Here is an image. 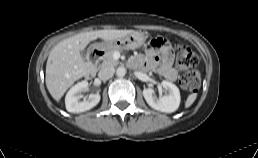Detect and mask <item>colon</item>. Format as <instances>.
Masks as SVG:
<instances>
[{"label":"colon","mask_w":258,"mask_h":158,"mask_svg":"<svg viewBox=\"0 0 258 158\" xmlns=\"http://www.w3.org/2000/svg\"><path fill=\"white\" fill-rule=\"evenodd\" d=\"M166 40L158 37L153 39L149 48L159 50ZM199 59L197 55L186 46H180L177 52V66L179 69L184 70V73L180 76L179 83L181 87L187 91H195L198 89L200 84V75L196 70Z\"/></svg>","instance_id":"colon-1"}]
</instances>
